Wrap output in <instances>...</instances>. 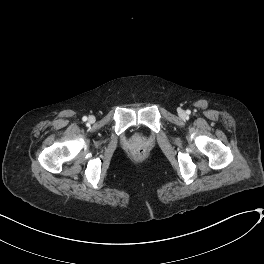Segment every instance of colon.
<instances>
[{
  "mask_svg": "<svg viewBox=\"0 0 264 264\" xmlns=\"http://www.w3.org/2000/svg\"><path fill=\"white\" fill-rule=\"evenodd\" d=\"M143 153H144V151L142 149L137 150L136 151V157H138V158L142 157Z\"/></svg>",
  "mask_w": 264,
  "mask_h": 264,
  "instance_id": "5ec220e1",
  "label": "colon"
}]
</instances>
